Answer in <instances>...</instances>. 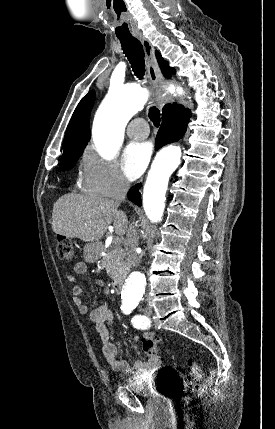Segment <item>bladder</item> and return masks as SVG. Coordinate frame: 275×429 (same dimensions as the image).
I'll return each instance as SVG.
<instances>
[{
	"mask_svg": "<svg viewBox=\"0 0 275 429\" xmlns=\"http://www.w3.org/2000/svg\"><path fill=\"white\" fill-rule=\"evenodd\" d=\"M131 393L149 398V403H178V377L130 378Z\"/></svg>",
	"mask_w": 275,
	"mask_h": 429,
	"instance_id": "obj_1",
	"label": "bladder"
}]
</instances>
